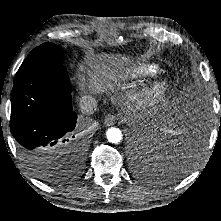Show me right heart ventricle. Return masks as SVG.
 <instances>
[{
  "label": "right heart ventricle",
  "mask_w": 221,
  "mask_h": 221,
  "mask_svg": "<svg viewBox=\"0 0 221 221\" xmlns=\"http://www.w3.org/2000/svg\"><path fill=\"white\" fill-rule=\"evenodd\" d=\"M142 71L145 73H157L159 70L155 66H143Z\"/></svg>",
  "instance_id": "1"
}]
</instances>
